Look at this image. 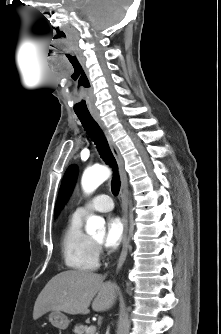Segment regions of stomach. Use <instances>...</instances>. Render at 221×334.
Returning a JSON list of instances; mask_svg holds the SVG:
<instances>
[{
    "instance_id": "0dacf381",
    "label": "stomach",
    "mask_w": 221,
    "mask_h": 334,
    "mask_svg": "<svg viewBox=\"0 0 221 334\" xmlns=\"http://www.w3.org/2000/svg\"><path fill=\"white\" fill-rule=\"evenodd\" d=\"M49 322L58 329H67L69 326L70 320L68 317L63 314L61 311H51L49 313Z\"/></svg>"
}]
</instances>
